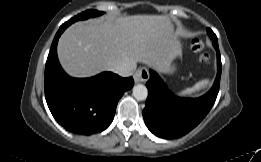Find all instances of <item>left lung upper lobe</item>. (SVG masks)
<instances>
[{"instance_id": "5c2ea615", "label": "left lung upper lobe", "mask_w": 261, "mask_h": 162, "mask_svg": "<svg viewBox=\"0 0 261 162\" xmlns=\"http://www.w3.org/2000/svg\"><path fill=\"white\" fill-rule=\"evenodd\" d=\"M207 32L209 34V36L211 37V39L214 41V42H217V37L216 35L213 33V31L209 28H207Z\"/></svg>"}]
</instances>
